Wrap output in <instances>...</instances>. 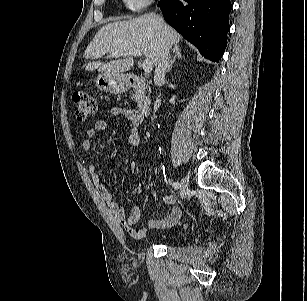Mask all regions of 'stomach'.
Segmentation results:
<instances>
[{
  "instance_id": "0dacf381",
  "label": "stomach",
  "mask_w": 307,
  "mask_h": 301,
  "mask_svg": "<svg viewBox=\"0 0 307 301\" xmlns=\"http://www.w3.org/2000/svg\"><path fill=\"white\" fill-rule=\"evenodd\" d=\"M96 85L101 91L120 94L128 88V77L121 73L102 72L96 79Z\"/></svg>"
}]
</instances>
